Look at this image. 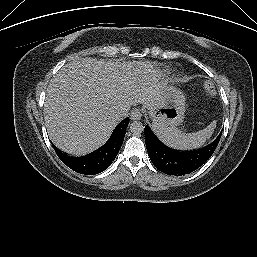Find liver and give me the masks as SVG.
I'll list each match as a JSON object with an SVG mask.
<instances>
[{
    "mask_svg": "<svg viewBox=\"0 0 257 257\" xmlns=\"http://www.w3.org/2000/svg\"><path fill=\"white\" fill-rule=\"evenodd\" d=\"M165 86L160 72L147 61L73 60L47 88L44 119L49 138L65 153H89L109 138L120 121V109L137 104L151 108Z\"/></svg>",
    "mask_w": 257,
    "mask_h": 257,
    "instance_id": "1",
    "label": "liver"
}]
</instances>
